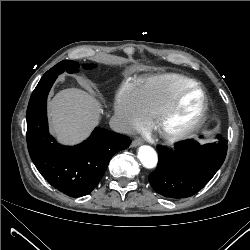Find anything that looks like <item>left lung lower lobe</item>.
Listing matches in <instances>:
<instances>
[{"instance_id":"left-lung-lower-lobe-1","label":"left lung lower lobe","mask_w":250,"mask_h":250,"mask_svg":"<svg viewBox=\"0 0 250 250\" xmlns=\"http://www.w3.org/2000/svg\"><path fill=\"white\" fill-rule=\"evenodd\" d=\"M202 137V136H201ZM200 145L197 141L179 142L174 150L158 147V165L149 175L153 189L169 198L189 197L201 190L218 171L227 153V142Z\"/></svg>"}]
</instances>
